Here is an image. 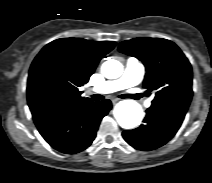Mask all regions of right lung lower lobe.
I'll return each instance as SVG.
<instances>
[{
  "mask_svg": "<svg viewBox=\"0 0 212 183\" xmlns=\"http://www.w3.org/2000/svg\"><path fill=\"white\" fill-rule=\"evenodd\" d=\"M111 107L108 99L77 107H56L34 117V122L40 134L53 148L74 154L93 142L102 118Z\"/></svg>",
  "mask_w": 212,
  "mask_h": 183,
  "instance_id": "right-lung-lower-lobe-1",
  "label": "right lung lower lobe"
}]
</instances>
